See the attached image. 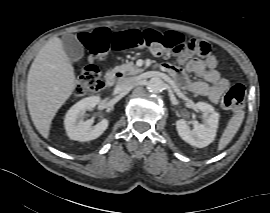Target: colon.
Here are the masks:
<instances>
[{
	"label": "colon",
	"mask_w": 270,
	"mask_h": 213,
	"mask_svg": "<svg viewBox=\"0 0 270 213\" xmlns=\"http://www.w3.org/2000/svg\"><path fill=\"white\" fill-rule=\"evenodd\" d=\"M85 48L89 65L81 67L77 73L75 93L78 96L96 92L104 87L103 66L108 51H122L128 48H145L152 54L167 58L171 54L204 55L209 46L199 39H187L174 31H156L153 29L111 33L106 28L85 32L80 36ZM245 89L241 84H234L224 94L221 106L224 109L236 110L243 106Z\"/></svg>",
	"instance_id": "colon-1"
}]
</instances>
